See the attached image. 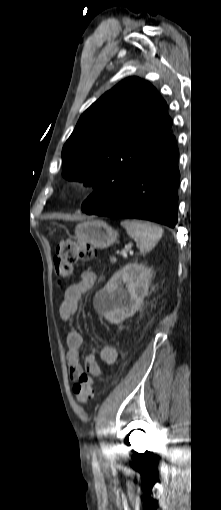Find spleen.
Wrapping results in <instances>:
<instances>
[{
  "mask_svg": "<svg viewBox=\"0 0 221 510\" xmlns=\"http://www.w3.org/2000/svg\"><path fill=\"white\" fill-rule=\"evenodd\" d=\"M121 225L142 253L151 251L163 235L161 227L146 221L124 220Z\"/></svg>",
  "mask_w": 221,
  "mask_h": 510,
  "instance_id": "obj_1",
  "label": "spleen"
}]
</instances>
